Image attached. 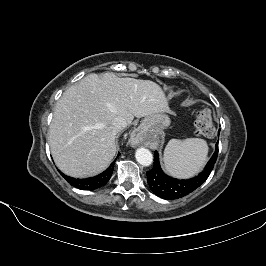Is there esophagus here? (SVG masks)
Instances as JSON below:
<instances>
[{
	"mask_svg": "<svg viewBox=\"0 0 266 266\" xmlns=\"http://www.w3.org/2000/svg\"><path fill=\"white\" fill-rule=\"evenodd\" d=\"M144 138H145V132L143 128H137L131 133L129 142L131 146L135 147L140 143H142Z\"/></svg>",
	"mask_w": 266,
	"mask_h": 266,
	"instance_id": "obj_1",
	"label": "esophagus"
}]
</instances>
